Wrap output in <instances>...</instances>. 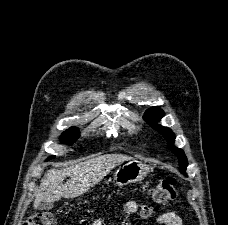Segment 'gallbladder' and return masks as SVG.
<instances>
[{"mask_svg":"<svg viewBox=\"0 0 228 225\" xmlns=\"http://www.w3.org/2000/svg\"><path fill=\"white\" fill-rule=\"evenodd\" d=\"M54 207V203L52 201V203H40V207L39 209H41V211H49V209H53Z\"/></svg>","mask_w":228,"mask_h":225,"instance_id":"bac80fb5","label":"gallbladder"}]
</instances>
